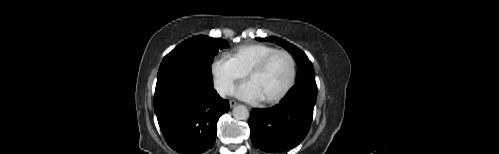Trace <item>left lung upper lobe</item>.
<instances>
[{"instance_id":"left-lung-upper-lobe-1","label":"left lung upper lobe","mask_w":499,"mask_h":154,"mask_svg":"<svg viewBox=\"0 0 499 154\" xmlns=\"http://www.w3.org/2000/svg\"><path fill=\"white\" fill-rule=\"evenodd\" d=\"M258 40L260 41L269 40L271 42H275L276 44L284 47L287 51H289L292 54V56L296 60L298 67L296 83L315 81V71L313 65L302 50L278 37L258 38Z\"/></svg>"}]
</instances>
